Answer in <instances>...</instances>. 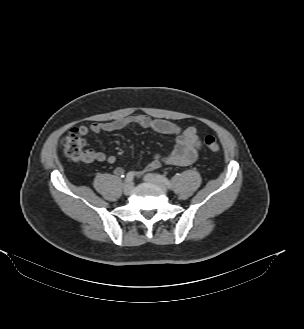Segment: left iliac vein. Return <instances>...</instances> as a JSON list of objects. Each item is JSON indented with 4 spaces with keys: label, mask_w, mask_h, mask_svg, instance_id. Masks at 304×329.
Here are the masks:
<instances>
[{
    "label": "left iliac vein",
    "mask_w": 304,
    "mask_h": 329,
    "mask_svg": "<svg viewBox=\"0 0 304 329\" xmlns=\"http://www.w3.org/2000/svg\"><path fill=\"white\" fill-rule=\"evenodd\" d=\"M144 180L146 182L153 183V184L159 186L164 191L167 190L166 186L154 174H146L144 176Z\"/></svg>",
    "instance_id": "1"
}]
</instances>
